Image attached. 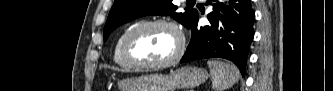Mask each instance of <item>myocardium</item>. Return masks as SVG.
Returning <instances> with one entry per match:
<instances>
[{
  "label": "myocardium",
  "instance_id": "myocardium-1",
  "mask_svg": "<svg viewBox=\"0 0 333 91\" xmlns=\"http://www.w3.org/2000/svg\"><path fill=\"white\" fill-rule=\"evenodd\" d=\"M156 26H163L168 27L174 31L178 38V47L174 55L169 58L168 60L156 62V63H150V62H144L142 60H139L136 58L132 53V42L134 37L142 30H145L150 27H156ZM186 41L185 36L179 26L170 20L166 19H155V20H149V21H143L140 23L135 24L130 28V30L125 35L124 41H123V54L125 59L129 64L134 66L135 68L140 69H162L169 67L173 64H175L177 61L180 60V58L183 56L185 51Z\"/></svg>",
  "mask_w": 333,
  "mask_h": 91
}]
</instances>
